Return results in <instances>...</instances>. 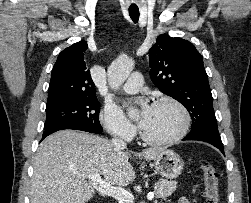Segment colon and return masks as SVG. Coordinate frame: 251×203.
I'll use <instances>...</instances> for the list:
<instances>
[{
    "instance_id": "5ec220e1",
    "label": "colon",
    "mask_w": 251,
    "mask_h": 203,
    "mask_svg": "<svg viewBox=\"0 0 251 203\" xmlns=\"http://www.w3.org/2000/svg\"><path fill=\"white\" fill-rule=\"evenodd\" d=\"M200 169L204 181L205 203H220L218 172L212 163L203 161Z\"/></svg>"
}]
</instances>
